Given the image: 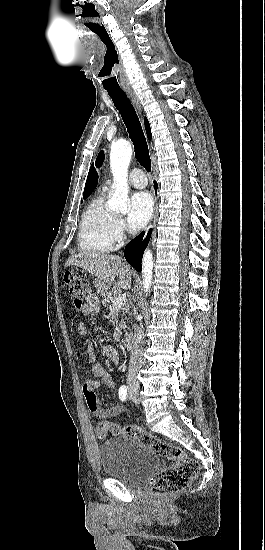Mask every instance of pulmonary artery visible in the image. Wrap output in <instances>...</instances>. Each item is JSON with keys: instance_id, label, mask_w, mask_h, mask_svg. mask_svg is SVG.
<instances>
[{"instance_id": "e3ab8cb5", "label": "pulmonary artery", "mask_w": 265, "mask_h": 550, "mask_svg": "<svg viewBox=\"0 0 265 550\" xmlns=\"http://www.w3.org/2000/svg\"><path fill=\"white\" fill-rule=\"evenodd\" d=\"M129 182L134 188L142 189L147 186V178L145 173L140 169H134L130 173ZM111 181L108 180L104 185V189H107Z\"/></svg>"}]
</instances>
